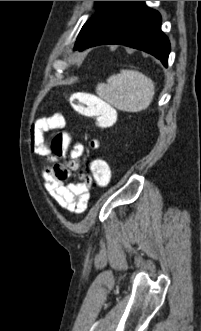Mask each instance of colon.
Masks as SVG:
<instances>
[{
	"label": "colon",
	"mask_w": 201,
	"mask_h": 331,
	"mask_svg": "<svg viewBox=\"0 0 201 331\" xmlns=\"http://www.w3.org/2000/svg\"><path fill=\"white\" fill-rule=\"evenodd\" d=\"M71 104L76 112L92 120L99 129H106L113 126L117 119L116 110L101 97L78 92L72 95ZM66 136L63 132L57 133L52 142L51 150L56 156H61ZM90 171L93 182L100 188H105L111 181V170L106 161L95 159L90 163Z\"/></svg>",
	"instance_id": "5ec220e1"
}]
</instances>
